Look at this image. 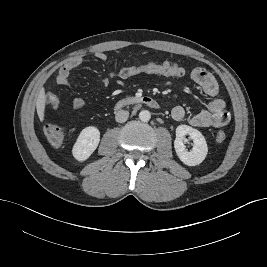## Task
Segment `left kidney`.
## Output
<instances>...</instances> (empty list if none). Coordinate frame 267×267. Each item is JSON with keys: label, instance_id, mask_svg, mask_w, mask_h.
<instances>
[{"label": "left kidney", "instance_id": "1", "mask_svg": "<svg viewBox=\"0 0 267 267\" xmlns=\"http://www.w3.org/2000/svg\"><path fill=\"white\" fill-rule=\"evenodd\" d=\"M185 135H189L193 140V147L188 151L184 146ZM174 148L179 159L188 166H196L205 159L208 147L204 136L188 125H179L176 128V138Z\"/></svg>", "mask_w": 267, "mask_h": 267}]
</instances>
